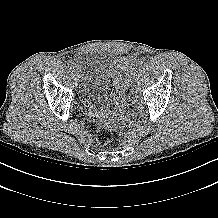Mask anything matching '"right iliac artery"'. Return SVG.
<instances>
[{"mask_svg": "<svg viewBox=\"0 0 218 218\" xmlns=\"http://www.w3.org/2000/svg\"><path fill=\"white\" fill-rule=\"evenodd\" d=\"M73 64H74V63H73V61H71V60H69L68 63H67L68 67H71Z\"/></svg>", "mask_w": 218, "mask_h": 218, "instance_id": "right-iliac-artery-1", "label": "right iliac artery"}]
</instances>
